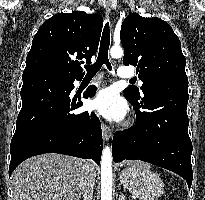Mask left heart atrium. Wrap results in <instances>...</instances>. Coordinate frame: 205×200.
Returning <instances> with one entry per match:
<instances>
[{
  "mask_svg": "<svg viewBox=\"0 0 205 200\" xmlns=\"http://www.w3.org/2000/svg\"><path fill=\"white\" fill-rule=\"evenodd\" d=\"M92 106L100 115L113 121H121L127 112L125 103L112 87L100 90L96 94Z\"/></svg>",
  "mask_w": 205,
  "mask_h": 200,
  "instance_id": "left-heart-atrium-1",
  "label": "left heart atrium"
}]
</instances>
